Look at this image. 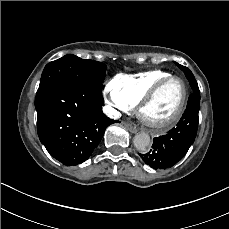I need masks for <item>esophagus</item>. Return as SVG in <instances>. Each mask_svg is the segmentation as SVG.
<instances>
[{
	"label": "esophagus",
	"mask_w": 229,
	"mask_h": 229,
	"mask_svg": "<svg viewBox=\"0 0 229 229\" xmlns=\"http://www.w3.org/2000/svg\"><path fill=\"white\" fill-rule=\"evenodd\" d=\"M124 125L131 133H136L138 131L137 127L132 125L131 123L126 122L124 123Z\"/></svg>",
	"instance_id": "obj_1"
}]
</instances>
